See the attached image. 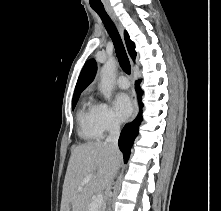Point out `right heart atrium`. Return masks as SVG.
<instances>
[{"label": "right heart atrium", "mask_w": 221, "mask_h": 211, "mask_svg": "<svg viewBox=\"0 0 221 211\" xmlns=\"http://www.w3.org/2000/svg\"><path fill=\"white\" fill-rule=\"evenodd\" d=\"M94 122L101 135L114 132L120 127L119 119L113 109L103 102L94 105Z\"/></svg>", "instance_id": "1"}]
</instances>
